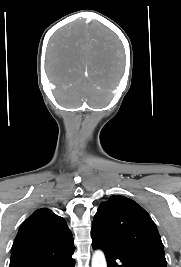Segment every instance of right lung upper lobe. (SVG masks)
<instances>
[{
  "label": "right lung upper lobe",
  "mask_w": 181,
  "mask_h": 267,
  "mask_svg": "<svg viewBox=\"0 0 181 267\" xmlns=\"http://www.w3.org/2000/svg\"><path fill=\"white\" fill-rule=\"evenodd\" d=\"M74 249L72 234L64 219L41 208L21 225L12 246L10 263L48 259Z\"/></svg>",
  "instance_id": "cb5924a9"
}]
</instances>
